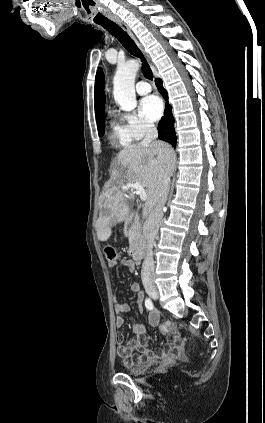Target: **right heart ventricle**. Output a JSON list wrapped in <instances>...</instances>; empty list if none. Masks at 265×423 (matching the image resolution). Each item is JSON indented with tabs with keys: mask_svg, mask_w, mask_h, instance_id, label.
I'll return each instance as SVG.
<instances>
[{
	"mask_svg": "<svg viewBox=\"0 0 265 423\" xmlns=\"http://www.w3.org/2000/svg\"><path fill=\"white\" fill-rule=\"evenodd\" d=\"M111 141L114 144H126L130 142L122 125L116 123L112 124Z\"/></svg>",
	"mask_w": 265,
	"mask_h": 423,
	"instance_id": "obj_1",
	"label": "right heart ventricle"
}]
</instances>
